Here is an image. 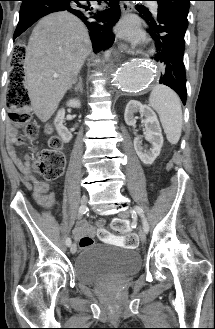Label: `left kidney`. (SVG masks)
Wrapping results in <instances>:
<instances>
[{"instance_id":"left-kidney-1","label":"left kidney","mask_w":215,"mask_h":329,"mask_svg":"<svg viewBox=\"0 0 215 329\" xmlns=\"http://www.w3.org/2000/svg\"><path fill=\"white\" fill-rule=\"evenodd\" d=\"M140 112L144 116V123L146 127L145 139L152 144L149 151L142 147L141 137L136 136L134 138V149L144 164H152L154 160L159 156L162 145L163 136L161 133V127L154 111L147 105H143L139 101L131 100L126 105L124 119L127 125L135 127L136 118L134 113Z\"/></svg>"}]
</instances>
